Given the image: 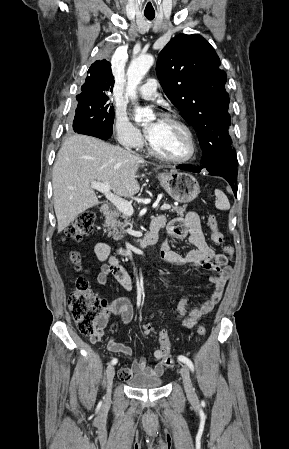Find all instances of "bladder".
<instances>
[{"mask_svg": "<svg viewBox=\"0 0 289 449\" xmlns=\"http://www.w3.org/2000/svg\"><path fill=\"white\" fill-rule=\"evenodd\" d=\"M127 385L137 389L159 388L164 384L161 376L138 373L126 381Z\"/></svg>", "mask_w": 289, "mask_h": 449, "instance_id": "1", "label": "bladder"}]
</instances>
